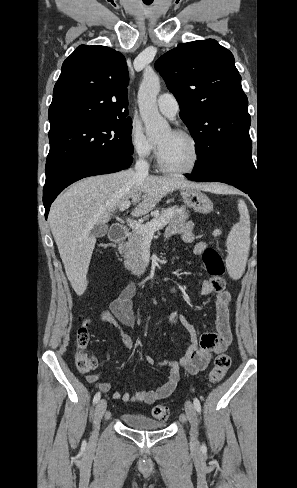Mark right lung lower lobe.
Segmentation results:
<instances>
[{"label":"right lung lower lobe","instance_id":"obj_1","mask_svg":"<svg viewBox=\"0 0 297 488\" xmlns=\"http://www.w3.org/2000/svg\"><path fill=\"white\" fill-rule=\"evenodd\" d=\"M132 161V156L120 158L107 157L91 160L78 164L68 169L67 171L53 179L51 182L45 183L43 189L45 218L47 219L50 205L55 200L57 195H59L63 189H65L73 182L78 181L84 177L108 174L126 169L131 165Z\"/></svg>","mask_w":297,"mask_h":488}]
</instances>
